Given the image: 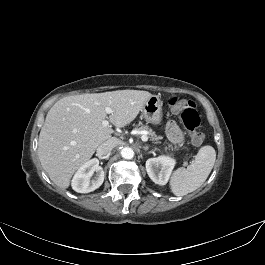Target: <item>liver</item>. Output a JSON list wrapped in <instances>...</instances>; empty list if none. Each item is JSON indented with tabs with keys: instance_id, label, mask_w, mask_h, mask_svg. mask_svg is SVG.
<instances>
[{
	"instance_id": "obj_1",
	"label": "liver",
	"mask_w": 265,
	"mask_h": 265,
	"mask_svg": "<svg viewBox=\"0 0 265 265\" xmlns=\"http://www.w3.org/2000/svg\"><path fill=\"white\" fill-rule=\"evenodd\" d=\"M152 96L147 91L118 90L57 101L46 115L38 142V156L50 179L60 188H68L75 171L111 138L113 129L102 121L108 118L114 126L124 127ZM106 107L113 110L109 116Z\"/></svg>"
}]
</instances>
